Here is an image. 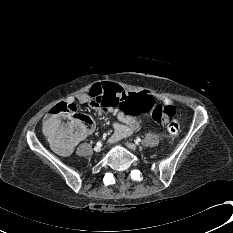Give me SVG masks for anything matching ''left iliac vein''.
I'll use <instances>...</instances> for the list:
<instances>
[{
    "instance_id": "left-iliac-vein-1",
    "label": "left iliac vein",
    "mask_w": 233,
    "mask_h": 233,
    "mask_svg": "<svg viewBox=\"0 0 233 233\" xmlns=\"http://www.w3.org/2000/svg\"><path fill=\"white\" fill-rule=\"evenodd\" d=\"M126 146H127L130 150H132V151L137 150V145L134 144V143H129V142H127V143H126Z\"/></svg>"
}]
</instances>
